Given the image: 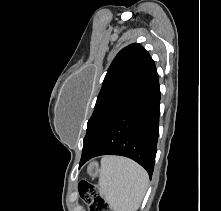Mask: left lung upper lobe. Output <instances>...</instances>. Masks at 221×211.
<instances>
[{"mask_svg":"<svg viewBox=\"0 0 221 211\" xmlns=\"http://www.w3.org/2000/svg\"><path fill=\"white\" fill-rule=\"evenodd\" d=\"M154 67V61L140 44H131L117 54L107 71L94 112L88 120L82 156L138 94Z\"/></svg>","mask_w":221,"mask_h":211,"instance_id":"1","label":"left lung upper lobe"}]
</instances>
